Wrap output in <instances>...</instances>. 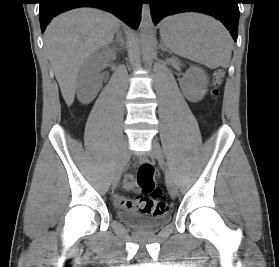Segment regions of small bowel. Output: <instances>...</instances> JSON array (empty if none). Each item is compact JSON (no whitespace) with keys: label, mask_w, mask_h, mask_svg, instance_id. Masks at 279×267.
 I'll use <instances>...</instances> for the list:
<instances>
[{"label":"small bowel","mask_w":279,"mask_h":267,"mask_svg":"<svg viewBox=\"0 0 279 267\" xmlns=\"http://www.w3.org/2000/svg\"><path fill=\"white\" fill-rule=\"evenodd\" d=\"M125 187L128 190H134L135 184L130 176H127L125 179ZM113 203L116 207L120 209H133L135 207V201L128 199L121 194L115 193L113 195Z\"/></svg>","instance_id":"c3829d8e"}]
</instances>
